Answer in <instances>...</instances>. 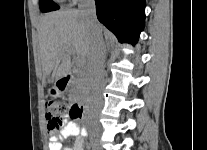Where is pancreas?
<instances>
[{
  "instance_id": "cf45deb5",
  "label": "pancreas",
  "mask_w": 207,
  "mask_h": 150,
  "mask_svg": "<svg viewBox=\"0 0 207 150\" xmlns=\"http://www.w3.org/2000/svg\"><path fill=\"white\" fill-rule=\"evenodd\" d=\"M89 83V76L87 73H82L80 78H76L72 81V92L75 90L84 91L87 89Z\"/></svg>"
}]
</instances>
